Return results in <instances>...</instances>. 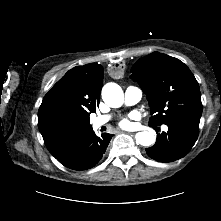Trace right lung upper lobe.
<instances>
[{
  "mask_svg": "<svg viewBox=\"0 0 221 221\" xmlns=\"http://www.w3.org/2000/svg\"><path fill=\"white\" fill-rule=\"evenodd\" d=\"M102 83L100 64L76 66L45 95L38 111V126L52 155L92 128L89 116L99 105Z\"/></svg>",
  "mask_w": 221,
  "mask_h": 221,
  "instance_id": "cb5924a9",
  "label": "right lung upper lobe"
}]
</instances>
